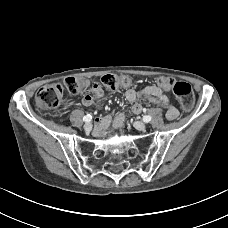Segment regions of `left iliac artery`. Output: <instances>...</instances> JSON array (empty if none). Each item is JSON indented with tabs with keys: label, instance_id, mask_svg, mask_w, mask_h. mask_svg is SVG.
<instances>
[{
	"label": "left iliac artery",
	"instance_id": "44dca946",
	"mask_svg": "<svg viewBox=\"0 0 228 228\" xmlns=\"http://www.w3.org/2000/svg\"><path fill=\"white\" fill-rule=\"evenodd\" d=\"M151 119H152V117H151V116H149V115H146V116H144V117H143V121H144L145 123L150 122V121H151Z\"/></svg>",
	"mask_w": 228,
	"mask_h": 228
}]
</instances>
